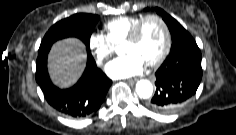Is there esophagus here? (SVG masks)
Segmentation results:
<instances>
[{
	"label": "esophagus",
	"mask_w": 236,
	"mask_h": 135,
	"mask_svg": "<svg viewBox=\"0 0 236 135\" xmlns=\"http://www.w3.org/2000/svg\"><path fill=\"white\" fill-rule=\"evenodd\" d=\"M129 83H135L137 81V79H128L127 80Z\"/></svg>",
	"instance_id": "obj_1"
}]
</instances>
